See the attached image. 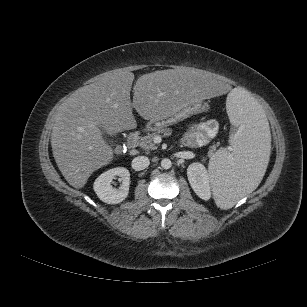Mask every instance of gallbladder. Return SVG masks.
I'll return each instance as SVG.
<instances>
[{
	"label": "gallbladder",
	"instance_id": "gallbladder-1",
	"mask_svg": "<svg viewBox=\"0 0 307 307\" xmlns=\"http://www.w3.org/2000/svg\"><path fill=\"white\" fill-rule=\"evenodd\" d=\"M100 130H101V133L104 137H106L108 135V132L107 130L103 127V126H100Z\"/></svg>",
	"mask_w": 307,
	"mask_h": 307
}]
</instances>
